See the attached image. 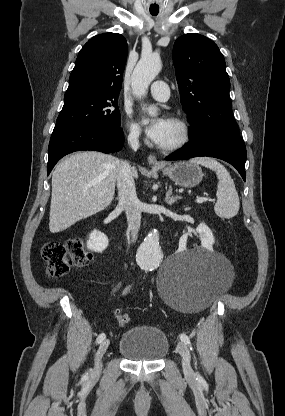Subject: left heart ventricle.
Returning a JSON list of instances; mask_svg holds the SVG:
<instances>
[{
	"label": "left heart ventricle",
	"instance_id": "1",
	"mask_svg": "<svg viewBox=\"0 0 285 416\" xmlns=\"http://www.w3.org/2000/svg\"><path fill=\"white\" fill-rule=\"evenodd\" d=\"M176 138H177V131H176L174 125L172 123H170L169 133H168L165 141L163 142L162 146H166V145L171 144L173 141H175Z\"/></svg>",
	"mask_w": 285,
	"mask_h": 416
}]
</instances>
